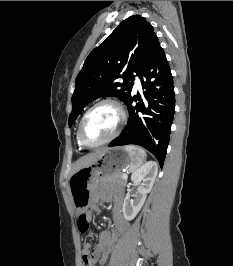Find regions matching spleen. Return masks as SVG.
I'll return each instance as SVG.
<instances>
[{
    "label": "spleen",
    "mask_w": 233,
    "mask_h": 266,
    "mask_svg": "<svg viewBox=\"0 0 233 266\" xmlns=\"http://www.w3.org/2000/svg\"><path fill=\"white\" fill-rule=\"evenodd\" d=\"M125 149L130 153L132 156L133 163L130 166V170L132 172L136 171L138 167L142 165V163L146 160V152L137 146L134 145H127Z\"/></svg>",
    "instance_id": "obj_1"
}]
</instances>
